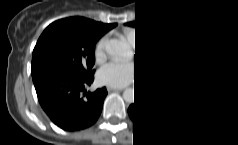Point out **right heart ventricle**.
Returning <instances> with one entry per match:
<instances>
[{
  "instance_id": "obj_1",
  "label": "right heart ventricle",
  "mask_w": 238,
  "mask_h": 145,
  "mask_svg": "<svg viewBox=\"0 0 238 145\" xmlns=\"http://www.w3.org/2000/svg\"><path fill=\"white\" fill-rule=\"evenodd\" d=\"M123 35L125 36V38L127 40H129L130 42H134L135 39L137 40L138 39V33L135 32L134 30L132 29H125L123 31Z\"/></svg>"
}]
</instances>
